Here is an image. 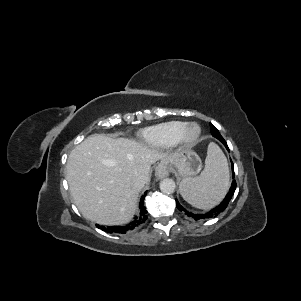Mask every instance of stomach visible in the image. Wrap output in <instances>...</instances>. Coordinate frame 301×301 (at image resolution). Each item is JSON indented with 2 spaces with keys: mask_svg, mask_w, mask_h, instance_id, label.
I'll return each instance as SVG.
<instances>
[{
  "mask_svg": "<svg viewBox=\"0 0 301 301\" xmlns=\"http://www.w3.org/2000/svg\"><path fill=\"white\" fill-rule=\"evenodd\" d=\"M163 163L183 178L197 175L202 167L200 157L192 150H181L163 160Z\"/></svg>",
  "mask_w": 301,
  "mask_h": 301,
  "instance_id": "obj_1",
  "label": "stomach"
}]
</instances>
